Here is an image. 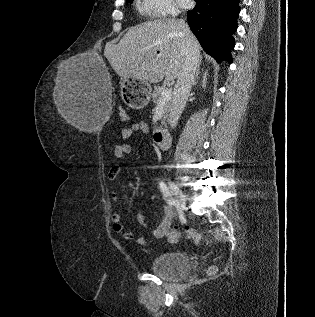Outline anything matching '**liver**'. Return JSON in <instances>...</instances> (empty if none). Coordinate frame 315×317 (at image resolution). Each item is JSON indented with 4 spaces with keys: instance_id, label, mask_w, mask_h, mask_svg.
I'll list each match as a JSON object with an SVG mask.
<instances>
[{
    "instance_id": "1",
    "label": "liver",
    "mask_w": 315,
    "mask_h": 317,
    "mask_svg": "<svg viewBox=\"0 0 315 317\" xmlns=\"http://www.w3.org/2000/svg\"><path fill=\"white\" fill-rule=\"evenodd\" d=\"M182 20L171 18L146 22L130 29L117 45H106L104 55L123 79L136 78L150 83L177 79L181 73L184 39L190 40L200 55V45Z\"/></svg>"
}]
</instances>
